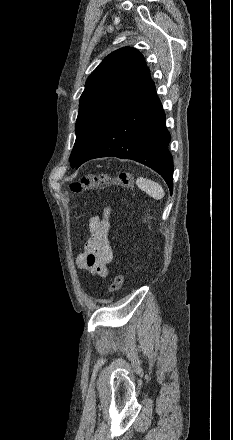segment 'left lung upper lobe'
<instances>
[{
    "mask_svg": "<svg viewBox=\"0 0 233 440\" xmlns=\"http://www.w3.org/2000/svg\"><path fill=\"white\" fill-rule=\"evenodd\" d=\"M150 80L142 54L124 47L109 54L88 77L75 125L76 141L69 158L79 167L101 141L122 109Z\"/></svg>",
    "mask_w": 233,
    "mask_h": 440,
    "instance_id": "5c2ea615",
    "label": "left lung upper lobe"
}]
</instances>
